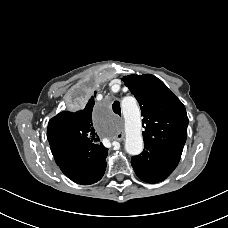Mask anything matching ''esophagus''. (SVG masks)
<instances>
[{
	"label": "esophagus",
	"instance_id": "obj_1",
	"mask_svg": "<svg viewBox=\"0 0 228 228\" xmlns=\"http://www.w3.org/2000/svg\"><path fill=\"white\" fill-rule=\"evenodd\" d=\"M123 138H124V133H123V131L117 133V135L115 136V139H116L117 141H122Z\"/></svg>",
	"mask_w": 228,
	"mask_h": 228
}]
</instances>
